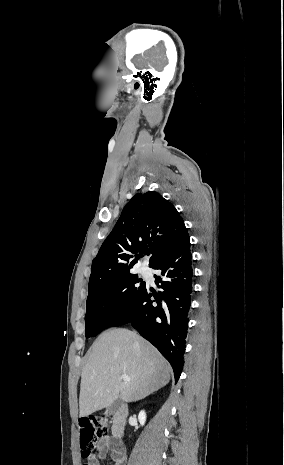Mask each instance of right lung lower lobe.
<instances>
[{
    "label": "right lung lower lobe",
    "mask_w": 284,
    "mask_h": 465,
    "mask_svg": "<svg viewBox=\"0 0 284 465\" xmlns=\"http://www.w3.org/2000/svg\"><path fill=\"white\" fill-rule=\"evenodd\" d=\"M188 238L178 249L162 258L153 269L161 291L145 286L110 326L131 323L170 362L175 380L184 365V353L193 294V268ZM160 283V285H159ZM155 300H151V297Z\"/></svg>",
    "instance_id": "98d812e1"
}]
</instances>
